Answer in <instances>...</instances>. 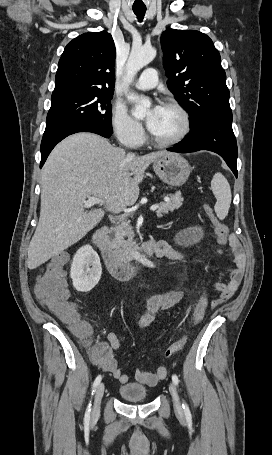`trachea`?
Here are the masks:
<instances>
[{
    "label": "trachea",
    "instance_id": "3493384b",
    "mask_svg": "<svg viewBox=\"0 0 272 455\" xmlns=\"http://www.w3.org/2000/svg\"><path fill=\"white\" fill-rule=\"evenodd\" d=\"M133 12L139 21H142L146 12V7H133Z\"/></svg>",
    "mask_w": 272,
    "mask_h": 455
}]
</instances>
